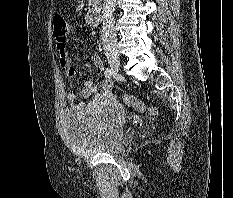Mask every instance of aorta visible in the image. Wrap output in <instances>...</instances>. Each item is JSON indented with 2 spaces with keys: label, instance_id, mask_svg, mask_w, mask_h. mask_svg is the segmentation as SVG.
Here are the masks:
<instances>
[{
  "label": "aorta",
  "instance_id": "aorta-1",
  "mask_svg": "<svg viewBox=\"0 0 233 198\" xmlns=\"http://www.w3.org/2000/svg\"><path fill=\"white\" fill-rule=\"evenodd\" d=\"M106 1L109 5L108 13H112L114 11V7H115V3H114L115 0H104V5H105ZM103 11H104V9H103Z\"/></svg>",
  "mask_w": 233,
  "mask_h": 198
}]
</instances>
